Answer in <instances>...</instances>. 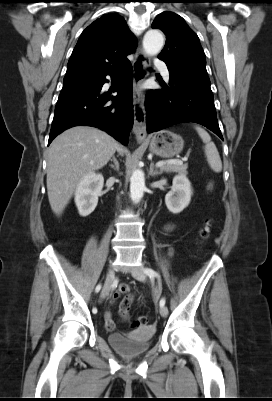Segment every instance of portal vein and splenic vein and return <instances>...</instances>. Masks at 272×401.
<instances>
[{
  "label": "portal vein and splenic vein",
  "instance_id": "18ae733b",
  "mask_svg": "<svg viewBox=\"0 0 272 401\" xmlns=\"http://www.w3.org/2000/svg\"><path fill=\"white\" fill-rule=\"evenodd\" d=\"M186 160H187V158L184 157L182 160L175 159V160L159 161V162L156 163V167L159 168V167H162V166H164L166 164H180V163H183V161H186Z\"/></svg>",
  "mask_w": 272,
  "mask_h": 401
}]
</instances>
